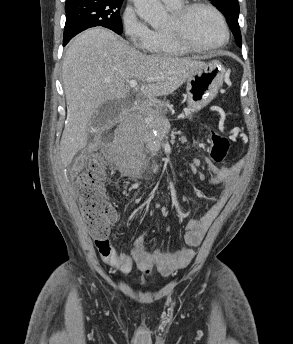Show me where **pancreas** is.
<instances>
[{"instance_id":"cf45deb5","label":"pancreas","mask_w":293,"mask_h":344,"mask_svg":"<svg viewBox=\"0 0 293 344\" xmlns=\"http://www.w3.org/2000/svg\"><path fill=\"white\" fill-rule=\"evenodd\" d=\"M148 121H142L139 131L140 132H144L147 129H155L158 126H162V125H166L168 123V119L161 114V112L157 111V112H150L148 113V117H147ZM131 133L132 130H131ZM130 134V130L128 131V133H126L127 137Z\"/></svg>"}]
</instances>
